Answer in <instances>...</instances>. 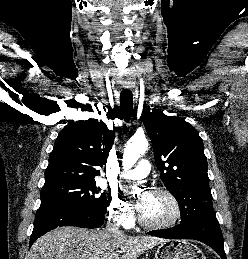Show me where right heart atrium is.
Listing matches in <instances>:
<instances>
[{
    "mask_svg": "<svg viewBox=\"0 0 248 259\" xmlns=\"http://www.w3.org/2000/svg\"><path fill=\"white\" fill-rule=\"evenodd\" d=\"M109 217L120 226H128L133 221V211L127 201L117 193H112L108 207Z\"/></svg>",
    "mask_w": 248,
    "mask_h": 259,
    "instance_id": "1",
    "label": "right heart atrium"
}]
</instances>
